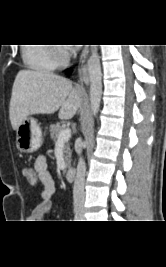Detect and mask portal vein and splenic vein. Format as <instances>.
Listing matches in <instances>:
<instances>
[{"label":"portal vein and splenic vein","instance_id":"18ae733b","mask_svg":"<svg viewBox=\"0 0 166 267\" xmlns=\"http://www.w3.org/2000/svg\"><path fill=\"white\" fill-rule=\"evenodd\" d=\"M71 137V129L66 128L65 130L61 131L58 138H57V143H63L69 140Z\"/></svg>","mask_w":166,"mask_h":267}]
</instances>
